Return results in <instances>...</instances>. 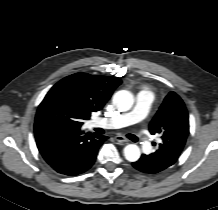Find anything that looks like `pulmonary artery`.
Returning a JSON list of instances; mask_svg holds the SVG:
<instances>
[{"label": "pulmonary artery", "mask_w": 218, "mask_h": 210, "mask_svg": "<svg viewBox=\"0 0 218 210\" xmlns=\"http://www.w3.org/2000/svg\"><path fill=\"white\" fill-rule=\"evenodd\" d=\"M153 93L149 88H142L137 96L136 106L130 112H125L111 118H96L89 122L90 127L102 128H121L136 124L142 121L153 102ZM136 136L140 140L141 148L145 152L152 150V144L147 135L141 131L136 132Z\"/></svg>", "instance_id": "pulmonary-artery-1"}]
</instances>
